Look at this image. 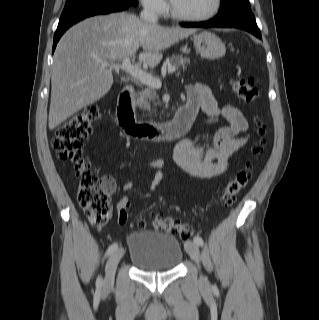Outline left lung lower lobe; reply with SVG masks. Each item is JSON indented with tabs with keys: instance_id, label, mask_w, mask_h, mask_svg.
Returning a JSON list of instances; mask_svg holds the SVG:
<instances>
[{
	"instance_id": "0a47b994",
	"label": "left lung lower lobe",
	"mask_w": 319,
	"mask_h": 320,
	"mask_svg": "<svg viewBox=\"0 0 319 320\" xmlns=\"http://www.w3.org/2000/svg\"><path fill=\"white\" fill-rule=\"evenodd\" d=\"M183 27H230L246 30L258 38L261 32L256 24L251 9H234L225 13H218L213 19L198 23H181Z\"/></svg>"
}]
</instances>
